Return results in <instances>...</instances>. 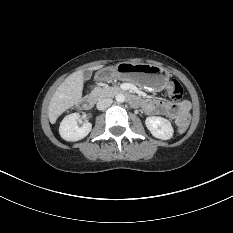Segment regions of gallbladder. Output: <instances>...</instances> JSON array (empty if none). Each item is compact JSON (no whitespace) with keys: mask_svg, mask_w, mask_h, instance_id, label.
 Segmentation results:
<instances>
[{"mask_svg":"<svg viewBox=\"0 0 233 233\" xmlns=\"http://www.w3.org/2000/svg\"><path fill=\"white\" fill-rule=\"evenodd\" d=\"M91 76H92V72L90 70L85 69L83 71V78H84V80H89L91 78Z\"/></svg>","mask_w":233,"mask_h":233,"instance_id":"bac80fb5","label":"gallbladder"}]
</instances>
